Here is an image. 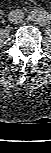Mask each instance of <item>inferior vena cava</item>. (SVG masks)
Wrapping results in <instances>:
<instances>
[{
    "mask_svg": "<svg viewBox=\"0 0 51 153\" xmlns=\"http://www.w3.org/2000/svg\"><path fill=\"white\" fill-rule=\"evenodd\" d=\"M8 19L13 24H19L24 19V13L20 9L13 10L9 13Z\"/></svg>",
    "mask_w": 51,
    "mask_h": 153,
    "instance_id": "inferior-vena-cava-1",
    "label": "inferior vena cava"
}]
</instances>
